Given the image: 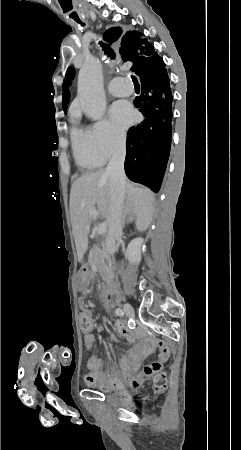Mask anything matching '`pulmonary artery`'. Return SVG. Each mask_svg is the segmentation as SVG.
Instances as JSON below:
<instances>
[{"label":"pulmonary artery","instance_id":"pulmonary-artery-1","mask_svg":"<svg viewBox=\"0 0 241 450\" xmlns=\"http://www.w3.org/2000/svg\"><path fill=\"white\" fill-rule=\"evenodd\" d=\"M109 81L113 83V87L109 86V92L115 97H125L126 93L131 91V80L130 78H122L120 74H111L109 76Z\"/></svg>","mask_w":241,"mask_h":450}]
</instances>
